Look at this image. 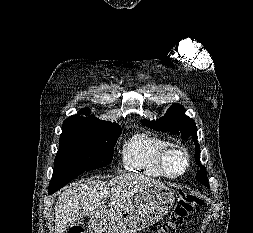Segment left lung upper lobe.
I'll return each mask as SVG.
<instances>
[{"label":"left lung upper lobe","instance_id":"left-lung-upper-lobe-1","mask_svg":"<svg viewBox=\"0 0 253 233\" xmlns=\"http://www.w3.org/2000/svg\"><path fill=\"white\" fill-rule=\"evenodd\" d=\"M184 112L185 109L183 106L174 104L168 109L165 116L158 121H142V123L156 131H170L181 135L183 138L193 136L196 150L195 160L200 166V170L196 174V179L206 187H209L206 168L200 163V146L197 141V127L194 120L187 117Z\"/></svg>","mask_w":253,"mask_h":233}]
</instances>
